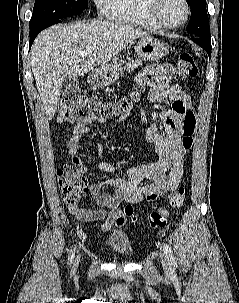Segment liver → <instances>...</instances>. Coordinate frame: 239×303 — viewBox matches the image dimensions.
Wrapping results in <instances>:
<instances>
[{"label": "liver", "instance_id": "1", "mask_svg": "<svg viewBox=\"0 0 239 303\" xmlns=\"http://www.w3.org/2000/svg\"><path fill=\"white\" fill-rule=\"evenodd\" d=\"M148 35L126 23L100 20L54 25L42 31L31 48L30 61L48 120L56 112L66 78L113 61L129 43ZM88 50L92 52L85 55Z\"/></svg>", "mask_w": 239, "mask_h": 303}]
</instances>
